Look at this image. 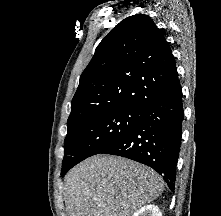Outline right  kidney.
Masks as SVG:
<instances>
[{
    "instance_id": "ca27d5eb",
    "label": "right kidney",
    "mask_w": 221,
    "mask_h": 216,
    "mask_svg": "<svg viewBox=\"0 0 221 216\" xmlns=\"http://www.w3.org/2000/svg\"><path fill=\"white\" fill-rule=\"evenodd\" d=\"M132 216H162L158 206L147 205L136 211Z\"/></svg>"
}]
</instances>
